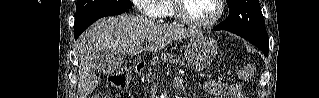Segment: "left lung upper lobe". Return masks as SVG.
<instances>
[{
    "mask_svg": "<svg viewBox=\"0 0 319 98\" xmlns=\"http://www.w3.org/2000/svg\"><path fill=\"white\" fill-rule=\"evenodd\" d=\"M229 16L219 24L248 40L269 42L259 0H227Z\"/></svg>",
    "mask_w": 319,
    "mask_h": 98,
    "instance_id": "5c2ea615",
    "label": "left lung upper lobe"
}]
</instances>
